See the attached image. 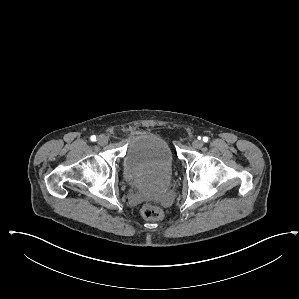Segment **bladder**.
Listing matches in <instances>:
<instances>
[{
    "label": "bladder",
    "instance_id": "bladder-1",
    "mask_svg": "<svg viewBox=\"0 0 299 299\" xmlns=\"http://www.w3.org/2000/svg\"><path fill=\"white\" fill-rule=\"evenodd\" d=\"M174 168V153L161 135L140 132L130 141L123 160V176L131 182L143 181L152 191L166 187Z\"/></svg>",
    "mask_w": 299,
    "mask_h": 299
}]
</instances>
